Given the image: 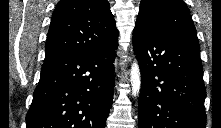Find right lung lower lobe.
<instances>
[{
  "instance_id": "1",
  "label": "right lung lower lobe",
  "mask_w": 221,
  "mask_h": 128,
  "mask_svg": "<svg viewBox=\"0 0 221 128\" xmlns=\"http://www.w3.org/2000/svg\"><path fill=\"white\" fill-rule=\"evenodd\" d=\"M117 42L44 61L27 128H104L114 94Z\"/></svg>"
}]
</instances>
